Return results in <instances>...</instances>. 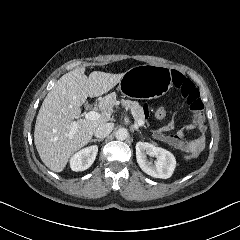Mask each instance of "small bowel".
<instances>
[{
  "label": "small bowel",
  "instance_id": "small-bowel-1",
  "mask_svg": "<svg viewBox=\"0 0 240 240\" xmlns=\"http://www.w3.org/2000/svg\"><path fill=\"white\" fill-rule=\"evenodd\" d=\"M177 120L174 118L166 125L159 127L152 131V135L154 139L170 145L183 153H185L186 149L191 146H196L201 149V151L205 147V133H206V125L205 122L200 125H194L192 123L187 124L181 130L172 133L176 126ZM197 131L199 136L194 139H186L185 134L187 132Z\"/></svg>",
  "mask_w": 240,
  "mask_h": 240
}]
</instances>
